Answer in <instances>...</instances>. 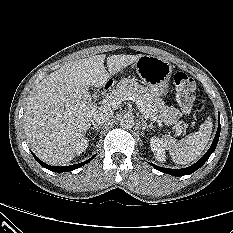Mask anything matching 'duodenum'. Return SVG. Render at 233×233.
<instances>
[{
    "instance_id": "obj_1",
    "label": "duodenum",
    "mask_w": 233,
    "mask_h": 233,
    "mask_svg": "<svg viewBox=\"0 0 233 233\" xmlns=\"http://www.w3.org/2000/svg\"><path fill=\"white\" fill-rule=\"evenodd\" d=\"M112 85V82L111 81H107L105 84H104V89L105 90H108Z\"/></svg>"
}]
</instances>
